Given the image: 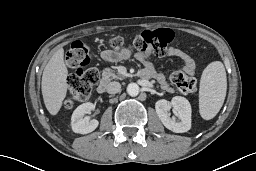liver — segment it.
I'll return each mask as SVG.
<instances>
[{"label": "liver", "instance_id": "liver-1", "mask_svg": "<svg viewBox=\"0 0 256 171\" xmlns=\"http://www.w3.org/2000/svg\"><path fill=\"white\" fill-rule=\"evenodd\" d=\"M67 76L64 50L59 48L46 64L41 82L44 104L51 115L59 112L66 97Z\"/></svg>", "mask_w": 256, "mask_h": 171}]
</instances>
